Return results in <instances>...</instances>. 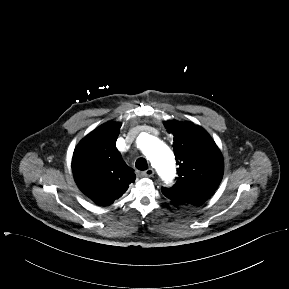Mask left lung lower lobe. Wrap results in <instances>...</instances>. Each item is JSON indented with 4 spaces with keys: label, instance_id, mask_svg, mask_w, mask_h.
<instances>
[{
    "label": "left lung lower lobe",
    "instance_id": "1",
    "mask_svg": "<svg viewBox=\"0 0 289 289\" xmlns=\"http://www.w3.org/2000/svg\"><path fill=\"white\" fill-rule=\"evenodd\" d=\"M171 203H172L173 205H175V206H177V205H182V204H179V203H177V202H175V201H171Z\"/></svg>",
    "mask_w": 289,
    "mask_h": 289
}]
</instances>
